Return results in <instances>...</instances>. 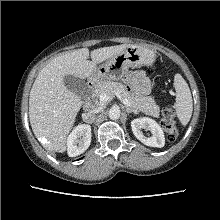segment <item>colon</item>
Segmentation results:
<instances>
[{"label": "colon", "instance_id": "1", "mask_svg": "<svg viewBox=\"0 0 220 220\" xmlns=\"http://www.w3.org/2000/svg\"><path fill=\"white\" fill-rule=\"evenodd\" d=\"M169 142H174L177 139L178 131L174 119V112L171 108H165L162 114L161 122Z\"/></svg>", "mask_w": 220, "mask_h": 220}]
</instances>
